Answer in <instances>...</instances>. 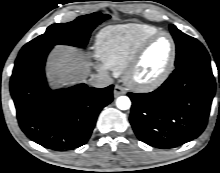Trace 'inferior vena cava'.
<instances>
[{
    "label": "inferior vena cava",
    "instance_id": "602c4592",
    "mask_svg": "<svg viewBox=\"0 0 220 173\" xmlns=\"http://www.w3.org/2000/svg\"><path fill=\"white\" fill-rule=\"evenodd\" d=\"M113 83V79L106 73L92 75L89 85L96 88H104Z\"/></svg>",
    "mask_w": 220,
    "mask_h": 173
}]
</instances>
